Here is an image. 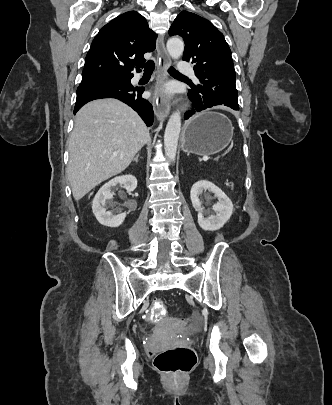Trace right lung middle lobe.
Instances as JSON below:
<instances>
[{
    "mask_svg": "<svg viewBox=\"0 0 332 405\" xmlns=\"http://www.w3.org/2000/svg\"><path fill=\"white\" fill-rule=\"evenodd\" d=\"M129 77L119 76V75H99V76H87L82 77L80 85L95 82V81H114V82H124L127 81Z\"/></svg>",
    "mask_w": 332,
    "mask_h": 405,
    "instance_id": "obj_1",
    "label": "right lung middle lobe"
}]
</instances>
